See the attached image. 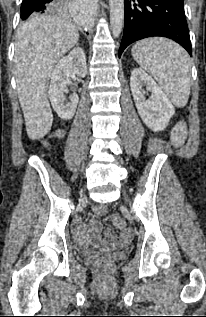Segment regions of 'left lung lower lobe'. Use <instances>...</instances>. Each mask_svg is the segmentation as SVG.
Here are the masks:
<instances>
[{
    "mask_svg": "<svg viewBox=\"0 0 206 317\" xmlns=\"http://www.w3.org/2000/svg\"><path fill=\"white\" fill-rule=\"evenodd\" d=\"M133 2L125 0V29L119 57L131 43L153 36L170 38L183 46L190 56L192 55L183 0H137L136 3Z\"/></svg>",
    "mask_w": 206,
    "mask_h": 317,
    "instance_id": "obj_1",
    "label": "left lung lower lobe"
}]
</instances>
